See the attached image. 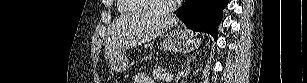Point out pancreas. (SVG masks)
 <instances>
[{
    "label": "pancreas",
    "mask_w": 307,
    "mask_h": 83,
    "mask_svg": "<svg viewBox=\"0 0 307 83\" xmlns=\"http://www.w3.org/2000/svg\"><path fill=\"white\" fill-rule=\"evenodd\" d=\"M169 72L166 69H163L162 67H157L153 71V77L158 80H164L165 76H167Z\"/></svg>",
    "instance_id": "1"
}]
</instances>
